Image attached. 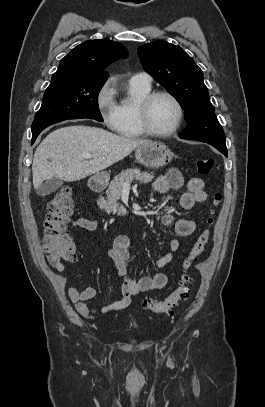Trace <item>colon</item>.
Segmentation results:
<instances>
[{"label":"colon","mask_w":265,"mask_h":407,"mask_svg":"<svg viewBox=\"0 0 265 407\" xmlns=\"http://www.w3.org/2000/svg\"><path fill=\"white\" fill-rule=\"evenodd\" d=\"M214 167V160L208 157H200L196 160V169L201 175H209ZM221 194L214 196V206L220 204ZM74 208L73 191L68 187L59 189L47 205V214L44 223L43 244L47 260L53 266L72 261L75 257V248L64 231ZM213 218L207 219V226L198 236L196 242L183 260L175 290L163 300H155L146 297L142 306L145 310L158 314L170 315L184 301L189 298V286L192 277L189 270L194 262L205 251L210 237V226Z\"/></svg>","instance_id":"obj_1"}]
</instances>
